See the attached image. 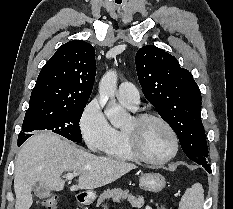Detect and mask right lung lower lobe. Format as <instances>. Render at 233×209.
<instances>
[{
	"label": "right lung lower lobe",
	"instance_id": "obj_1",
	"mask_svg": "<svg viewBox=\"0 0 233 209\" xmlns=\"http://www.w3.org/2000/svg\"><path fill=\"white\" fill-rule=\"evenodd\" d=\"M23 142L18 141V146H20Z\"/></svg>",
	"mask_w": 233,
	"mask_h": 209
}]
</instances>
